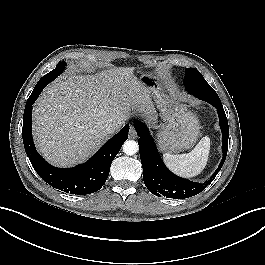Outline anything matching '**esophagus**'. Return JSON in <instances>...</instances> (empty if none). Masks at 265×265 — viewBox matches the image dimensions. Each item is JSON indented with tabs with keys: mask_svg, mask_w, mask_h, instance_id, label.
Here are the masks:
<instances>
[{
	"mask_svg": "<svg viewBox=\"0 0 265 265\" xmlns=\"http://www.w3.org/2000/svg\"><path fill=\"white\" fill-rule=\"evenodd\" d=\"M129 137L131 139H134L137 137V132L135 130V128L133 126L130 127V130H129Z\"/></svg>",
	"mask_w": 265,
	"mask_h": 265,
	"instance_id": "esophagus-1",
	"label": "esophagus"
}]
</instances>
